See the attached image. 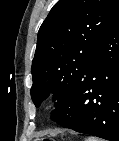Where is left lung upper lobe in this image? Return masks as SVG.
<instances>
[{"mask_svg":"<svg viewBox=\"0 0 119 141\" xmlns=\"http://www.w3.org/2000/svg\"><path fill=\"white\" fill-rule=\"evenodd\" d=\"M119 13V0H60L42 23L32 61L36 107L54 94L55 106L75 87L101 37Z\"/></svg>","mask_w":119,"mask_h":141,"instance_id":"left-lung-upper-lobe-1","label":"left lung upper lobe"}]
</instances>
